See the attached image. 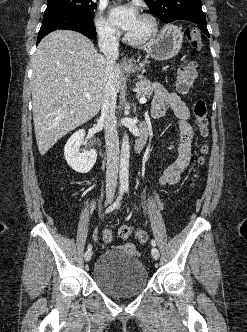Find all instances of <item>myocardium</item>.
I'll return each mask as SVG.
<instances>
[{"mask_svg": "<svg viewBox=\"0 0 247 332\" xmlns=\"http://www.w3.org/2000/svg\"><path fill=\"white\" fill-rule=\"evenodd\" d=\"M144 20H146L149 24V29L148 31L140 36V37H132L128 34L125 35V40L133 46H140L144 45L147 42H149L158 32V22L156 18L149 13H143L141 16Z\"/></svg>", "mask_w": 247, "mask_h": 332, "instance_id": "myocardium-1", "label": "myocardium"}]
</instances>
